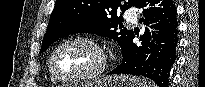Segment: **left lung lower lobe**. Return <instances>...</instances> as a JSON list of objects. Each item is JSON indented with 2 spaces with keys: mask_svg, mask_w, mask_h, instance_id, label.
Returning <instances> with one entry per match:
<instances>
[{
  "mask_svg": "<svg viewBox=\"0 0 205 87\" xmlns=\"http://www.w3.org/2000/svg\"><path fill=\"white\" fill-rule=\"evenodd\" d=\"M142 9L146 26L154 22L150 28L154 40L150 43L151 33L145 28V34L140 37V46L133 43L135 34L123 48L121 64L110 74H132L149 78L159 87H168L170 70L176 59V46L178 42L177 10L172 0H139L135 6Z\"/></svg>",
  "mask_w": 205,
  "mask_h": 87,
  "instance_id": "obj_1",
  "label": "left lung lower lobe"
}]
</instances>
